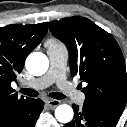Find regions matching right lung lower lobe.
<instances>
[{
	"label": "right lung lower lobe",
	"instance_id": "1",
	"mask_svg": "<svg viewBox=\"0 0 127 127\" xmlns=\"http://www.w3.org/2000/svg\"><path fill=\"white\" fill-rule=\"evenodd\" d=\"M44 102L40 99H32L27 111L13 123L6 127H34L41 111L43 110Z\"/></svg>",
	"mask_w": 127,
	"mask_h": 127
}]
</instances>
